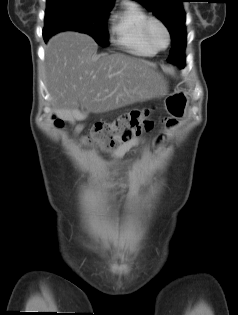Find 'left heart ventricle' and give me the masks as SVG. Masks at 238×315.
Returning a JSON list of instances; mask_svg holds the SVG:
<instances>
[{
    "instance_id": "1",
    "label": "left heart ventricle",
    "mask_w": 238,
    "mask_h": 315,
    "mask_svg": "<svg viewBox=\"0 0 238 315\" xmlns=\"http://www.w3.org/2000/svg\"><path fill=\"white\" fill-rule=\"evenodd\" d=\"M151 35L154 42L159 46H164L166 43V37L163 30L158 26L154 25L151 30Z\"/></svg>"
}]
</instances>
